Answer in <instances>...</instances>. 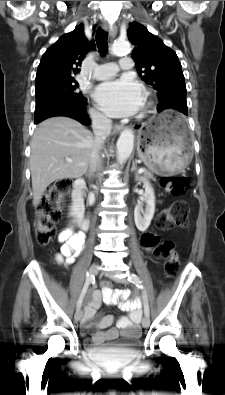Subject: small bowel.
Segmentation results:
<instances>
[{
	"instance_id": "small-bowel-1",
	"label": "small bowel",
	"mask_w": 225,
	"mask_h": 395,
	"mask_svg": "<svg viewBox=\"0 0 225 395\" xmlns=\"http://www.w3.org/2000/svg\"><path fill=\"white\" fill-rule=\"evenodd\" d=\"M59 242L61 243V248L57 255V261L59 263L72 264L84 248L85 236L83 233H73L71 230H65L60 234ZM128 297L129 292L127 290L115 291L112 288L102 287L101 292L96 291L93 293L91 300L84 309L82 327L84 329H95L92 335L94 344L99 345L114 340L119 334L129 338L140 336V328L138 326L141 317L140 302L138 300H129ZM102 302L118 304L121 310L128 312L127 316H123L117 321L116 328H110L113 323V317L110 315L99 317L93 321Z\"/></svg>"
}]
</instances>
